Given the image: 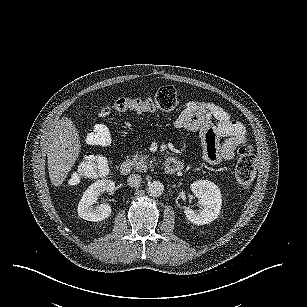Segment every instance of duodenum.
Segmentation results:
<instances>
[{
    "mask_svg": "<svg viewBox=\"0 0 307 307\" xmlns=\"http://www.w3.org/2000/svg\"><path fill=\"white\" fill-rule=\"evenodd\" d=\"M183 169V164L174 159L169 158L164 163V172L169 175L176 174ZM132 171V164L130 161H123L120 165V173L122 175H129Z\"/></svg>",
    "mask_w": 307,
    "mask_h": 307,
    "instance_id": "duodenum-1",
    "label": "duodenum"
}]
</instances>
